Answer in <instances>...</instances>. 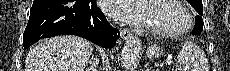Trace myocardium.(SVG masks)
<instances>
[{"mask_svg": "<svg viewBox=\"0 0 230 71\" xmlns=\"http://www.w3.org/2000/svg\"><path fill=\"white\" fill-rule=\"evenodd\" d=\"M160 1L168 2L173 6H175L176 8H178L184 16V20H185L184 24L180 28L173 29V30H164L152 26H147L146 27L147 31L154 36L163 37V38H176L186 34L193 26V15L189 10V8L184 4L183 1H178V0H160Z\"/></svg>", "mask_w": 230, "mask_h": 71, "instance_id": "1", "label": "myocardium"}]
</instances>
